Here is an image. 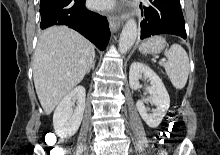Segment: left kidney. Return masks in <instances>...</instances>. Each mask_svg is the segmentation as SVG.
<instances>
[{"label": "left kidney", "instance_id": "1", "mask_svg": "<svg viewBox=\"0 0 220 155\" xmlns=\"http://www.w3.org/2000/svg\"><path fill=\"white\" fill-rule=\"evenodd\" d=\"M142 76L150 80V86L147 90L151 95L150 102L156 108L150 113V110L144 104L148 100L144 98L137 101L136 107L145 123L151 128H156L170 106L169 94L159 76L149 66L140 62H134L130 66L129 84L131 89L137 90L140 88L139 79Z\"/></svg>", "mask_w": 220, "mask_h": 155}]
</instances>
